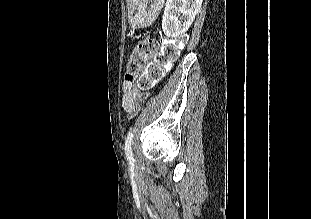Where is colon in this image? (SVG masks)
Instances as JSON below:
<instances>
[{
    "label": "colon",
    "instance_id": "colon-1",
    "mask_svg": "<svg viewBox=\"0 0 311 219\" xmlns=\"http://www.w3.org/2000/svg\"><path fill=\"white\" fill-rule=\"evenodd\" d=\"M185 41L184 36L166 39L161 51L157 54H155L156 43L153 39L144 38L138 43L128 61L127 67L130 74H138L144 62L154 55V61L148 65L146 73L139 79L140 88H148L162 77L166 67L180 55Z\"/></svg>",
    "mask_w": 311,
    "mask_h": 219
}]
</instances>
